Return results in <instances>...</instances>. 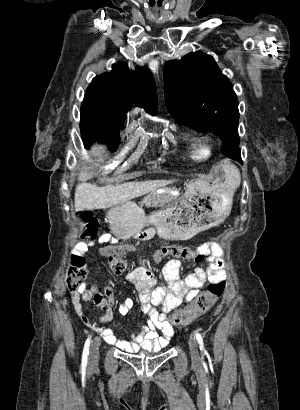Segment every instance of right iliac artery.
<instances>
[{
  "label": "right iliac artery",
  "mask_w": 300,
  "mask_h": 410,
  "mask_svg": "<svg viewBox=\"0 0 300 410\" xmlns=\"http://www.w3.org/2000/svg\"><path fill=\"white\" fill-rule=\"evenodd\" d=\"M90 342H91V337H88L86 342H85L83 353H82V365H81L82 370L86 369L88 355H89Z\"/></svg>",
  "instance_id": "82829eb1"
}]
</instances>
